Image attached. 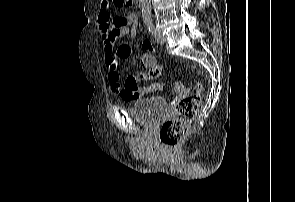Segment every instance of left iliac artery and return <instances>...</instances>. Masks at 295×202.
<instances>
[{"label": "left iliac artery", "instance_id": "1", "mask_svg": "<svg viewBox=\"0 0 295 202\" xmlns=\"http://www.w3.org/2000/svg\"><path fill=\"white\" fill-rule=\"evenodd\" d=\"M146 25H147V27H148V29H149V32H151V33L153 34V33H154V26H153L152 21H148V22L146 23Z\"/></svg>", "mask_w": 295, "mask_h": 202}]
</instances>
